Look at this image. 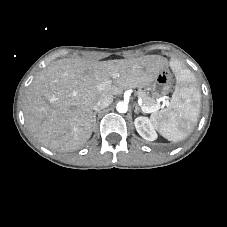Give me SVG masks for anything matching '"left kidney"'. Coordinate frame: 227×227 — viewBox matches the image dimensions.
<instances>
[{
  "label": "left kidney",
  "instance_id": "5707ae66",
  "mask_svg": "<svg viewBox=\"0 0 227 227\" xmlns=\"http://www.w3.org/2000/svg\"><path fill=\"white\" fill-rule=\"evenodd\" d=\"M135 128L139 135L147 141H154L157 134L151 120L147 117L139 116L134 121Z\"/></svg>",
  "mask_w": 227,
  "mask_h": 227
}]
</instances>
